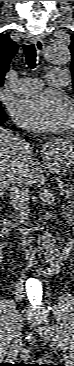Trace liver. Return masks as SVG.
<instances>
[{
    "instance_id": "obj_1",
    "label": "liver",
    "mask_w": 74,
    "mask_h": 366,
    "mask_svg": "<svg viewBox=\"0 0 74 366\" xmlns=\"http://www.w3.org/2000/svg\"><path fill=\"white\" fill-rule=\"evenodd\" d=\"M21 139L14 136L9 130L0 128V192L6 191L10 185L12 176L17 172L20 164L24 162V172L28 179L29 186L36 183L41 177V168L35 160L33 153L29 159H25L22 153Z\"/></svg>"
}]
</instances>
